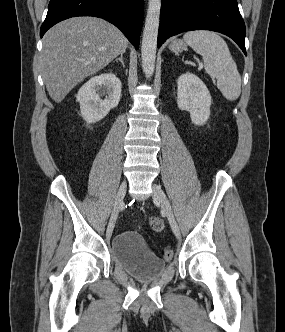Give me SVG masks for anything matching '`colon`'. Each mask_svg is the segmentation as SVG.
Here are the masks:
<instances>
[{"instance_id":"5ec220e1","label":"colon","mask_w":285,"mask_h":332,"mask_svg":"<svg viewBox=\"0 0 285 332\" xmlns=\"http://www.w3.org/2000/svg\"><path fill=\"white\" fill-rule=\"evenodd\" d=\"M150 225L152 227L153 230L159 232L163 229V223L162 221L157 218V217H153L150 219ZM173 250L171 248H166L164 250V258L165 260H171L173 257Z\"/></svg>"}]
</instances>
